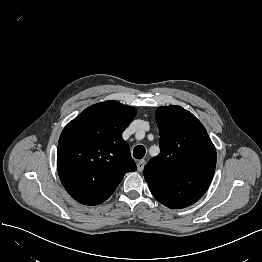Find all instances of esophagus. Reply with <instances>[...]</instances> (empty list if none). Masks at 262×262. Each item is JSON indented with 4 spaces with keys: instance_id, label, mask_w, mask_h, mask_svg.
<instances>
[{
    "instance_id": "1",
    "label": "esophagus",
    "mask_w": 262,
    "mask_h": 262,
    "mask_svg": "<svg viewBox=\"0 0 262 262\" xmlns=\"http://www.w3.org/2000/svg\"><path fill=\"white\" fill-rule=\"evenodd\" d=\"M144 166H145V160L138 161V163H137V170L139 172H142L143 169H144Z\"/></svg>"
}]
</instances>
